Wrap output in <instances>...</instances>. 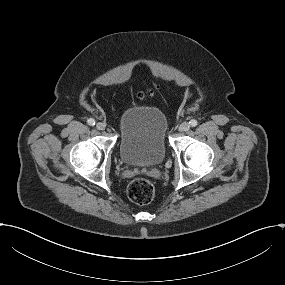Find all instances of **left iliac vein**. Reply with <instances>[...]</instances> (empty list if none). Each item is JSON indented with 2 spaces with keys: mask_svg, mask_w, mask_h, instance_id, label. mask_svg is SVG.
Instances as JSON below:
<instances>
[{
  "mask_svg": "<svg viewBox=\"0 0 285 285\" xmlns=\"http://www.w3.org/2000/svg\"><path fill=\"white\" fill-rule=\"evenodd\" d=\"M189 129H190V124L188 122H183L179 126L180 132H185V131H188Z\"/></svg>",
  "mask_w": 285,
  "mask_h": 285,
  "instance_id": "1",
  "label": "left iliac vein"
}]
</instances>
